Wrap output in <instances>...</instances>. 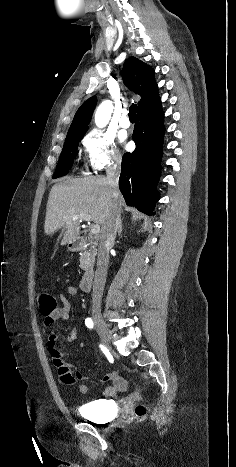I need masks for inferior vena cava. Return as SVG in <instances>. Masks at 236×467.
<instances>
[{
	"label": "inferior vena cava",
	"mask_w": 236,
	"mask_h": 467,
	"mask_svg": "<svg viewBox=\"0 0 236 467\" xmlns=\"http://www.w3.org/2000/svg\"><path fill=\"white\" fill-rule=\"evenodd\" d=\"M107 182L111 188L112 195L117 198L119 195L118 179L120 167L118 164H112L106 171ZM120 209L117 207L113 210L107 222L102 227L98 246L97 269L95 272L92 304L95 307H100L103 290L107 277V269L109 263V249L114 244L117 229L120 222Z\"/></svg>",
	"instance_id": "1"
}]
</instances>
